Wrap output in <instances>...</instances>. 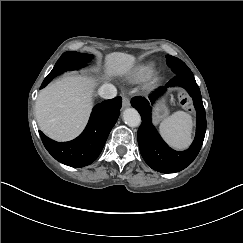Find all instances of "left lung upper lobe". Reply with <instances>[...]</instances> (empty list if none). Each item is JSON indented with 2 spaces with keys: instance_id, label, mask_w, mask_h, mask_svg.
Returning a JSON list of instances; mask_svg holds the SVG:
<instances>
[{
  "instance_id": "obj_1",
  "label": "left lung upper lobe",
  "mask_w": 243,
  "mask_h": 243,
  "mask_svg": "<svg viewBox=\"0 0 243 243\" xmlns=\"http://www.w3.org/2000/svg\"><path fill=\"white\" fill-rule=\"evenodd\" d=\"M167 65L175 74H187L193 75L191 70L186 66V64L180 59L167 55Z\"/></svg>"
}]
</instances>
